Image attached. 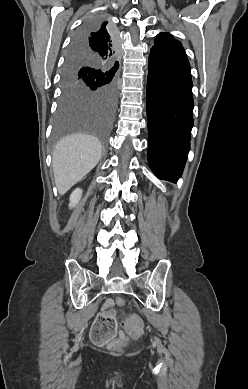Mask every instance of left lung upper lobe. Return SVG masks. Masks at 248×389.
Wrapping results in <instances>:
<instances>
[{
    "instance_id": "1",
    "label": "left lung upper lobe",
    "mask_w": 248,
    "mask_h": 389,
    "mask_svg": "<svg viewBox=\"0 0 248 389\" xmlns=\"http://www.w3.org/2000/svg\"><path fill=\"white\" fill-rule=\"evenodd\" d=\"M154 46L157 47L181 46V43L176 39H174L173 35L169 33H160L156 36Z\"/></svg>"
}]
</instances>
